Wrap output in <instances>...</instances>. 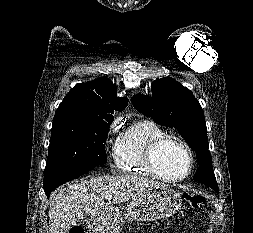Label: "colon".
<instances>
[{
  "mask_svg": "<svg viewBox=\"0 0 253 233\" xmlns=\"http://www.w3.org/2000/svg\"><path fill=\"white\" fill-rule=\"evenodd\" d=\"M185 199L192 209L201 208L206 201V198L203 195L194 193L185 194ZM69 233H84V230L82 226L76 225L70 229Z\"/></svg>",
  "mask_w": 253,
  "mask_h": 233,
  "instance_id": "colon-1",
  "label": "colon"
}]
</instances>
